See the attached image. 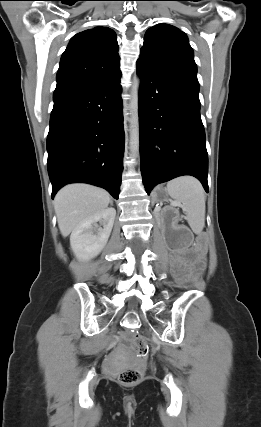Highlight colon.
Listing matches in <instances>:
<instances>
[{"instance_id":"obj_1","label":"colon","mask_w":261,"mask_h":427,"mask_svg":"<svg viewBox=\"0 0 261 427\" xmlns=\"http://www.w3.org/2000/svg\"><path fill=\"white\" fill-rule=\"evenodd\" d=\"M131 346L137 357L146 359L149 352V346L145 337L137 335L133 337ZM144 376L142 367L129 368L119 374L118 380L122 385L132 386L141 382Z\"/></svg>"}]
</instances>
